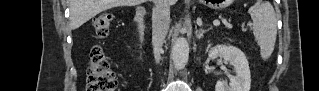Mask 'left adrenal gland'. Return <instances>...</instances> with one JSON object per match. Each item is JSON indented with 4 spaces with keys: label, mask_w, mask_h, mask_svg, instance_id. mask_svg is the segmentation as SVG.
<instances>
[{
    "label": "left adrenal gland",
    "mask_w": 319,
    "mask_h": 91,
    "mask_svg": "<svg viewBox=\"0 0 319 91\" xmlns=\"http://www.w3.org/2000/svg\"><path fill=\"white\" fill-rule=\"evenodd\" d=\"M210 30V28H208V29H206V30H204V29H200V30H196V36H197V38L198 39H201L203 36H204V34L206 33V32H208Z\"/></svg>",
    "instance_id": "obj_1"
}]
</instances>
